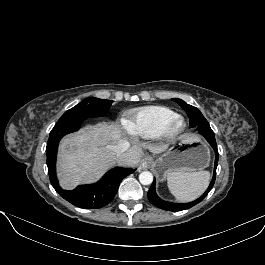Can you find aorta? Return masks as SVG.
<instances>
[{
	"mask_svg": "<svg viewBox=\"0 0 265 265\" xmlns=\"http://www.w3.org/2000/svg\"><path fill=\"white\" fill-rule=\"evenodd\" d=\"M139 181L143 185H150L153 182V175L149 171H143L139 175Z\"/></svg>",
	"mask_w": 265,
	"mask_h": 265,
	"instance_id": "obj_1",
	"label": "aorta"
}]
</instances>
